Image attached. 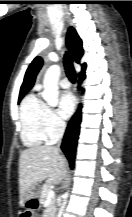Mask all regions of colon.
<instances>
[{
	"label": "colon",
	"mask_w": 132,
	"mask_h": 217,
	"mask_svg": "<svg viewBox=\"0 0 132 217\" xmlns=\"http://www.w3.org/2000/svg\"><path fill=\"white\" fill-rule=\"evenodd\" d=\"M37 209V203L34 200L27 202L24 210L21 213V217H35V211Z\"/></svg>",
	"instance_id": "5ec220e1"
}]
</instances>
